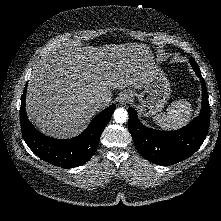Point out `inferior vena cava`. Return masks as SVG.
<instances>
[{
  "mask_svg": "<svg viewBox=\"0 0 221 221\" xmlns=\"http://www.w3.org/2000/svg\"><path fill=\"white\" fill-rule=\"evenodd\" d=\"M107 102L108 100L105 97H101V98L96 99L95 105L96 107L100 108V107L105 106Z\"/></svg>",
  "mask_w": 221,
  "mask_h": 221,
  "instance_id": "inferior-vena-cava-1",
  "label": "inferior vena cava"
}]
</instances>
